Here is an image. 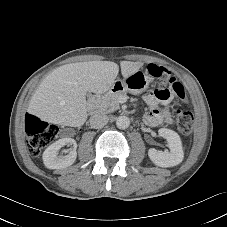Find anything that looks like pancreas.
Listing matches in <instances>:
<instances>
[{"label": "pancreas", "instance_id": "pancreas-1", "mask_svg": "<svg viewBox=\"0 0 227 227\" xmlns=\"http://www.w3.org/2000/svg\"><path fill=\"white\" fill-rule=\"evenodd\" d=\"M126 95L125 91L108 92L96 104V109L101 113H111L119 109V98Z\"/></svg>", "mask_w": 227, "mask_h": 227}]
</instances>
